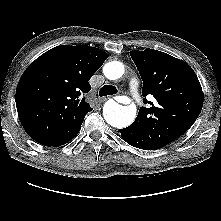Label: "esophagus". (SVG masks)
Here are the masks:
<instances>
[{
    "mask_svg": "<svg viewBox=\"0 0 221 221\" xmlns=\"http://www.w3.org/2000/svg\"><path fill=\"white\" fill-rule=\"evenodd\" d=\"M108 98L107 97H102V98H99V101L100 102H105Z\"/></svg>",
    "mask_w": 221,
    "mask_h": 221,
    "instance_id": "34e87169",
    "label": "esophagus"
}]
</instances>
